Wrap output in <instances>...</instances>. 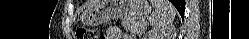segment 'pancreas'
<instances>
[{"label":"pancreas","instance_id":"cf45deb5","mask_svg":"<svg viewBox=\"0 0 249 39\" xmlns=\"http://www.w3.org/2000/svg\"><path fill=\"white\" fill-rule=\"evenodd\" d=\"M122 26L134 34H142L144 31L143 22L138 20H123Z\"/></svg>","mask_w":249,"mask_h":39}]
</instances>
